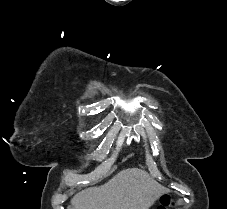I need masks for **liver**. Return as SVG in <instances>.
<instances>
[{"mask_svg": "<svg viewBox=\"0 0 227 209\" xmlns=\"http://www.w3.org/2000/svg\"><path fill=\"white\" fill-rule=\"evenodd\" d=\"M156 181L141 169H126L102 187H90L71 199L73 209H148L159 197Z\"/></svg>", "mask_w": 227, "mask_h": 209, "instance_id": "6515ba94", "label": "liver"}]
</instances>
